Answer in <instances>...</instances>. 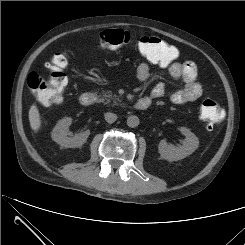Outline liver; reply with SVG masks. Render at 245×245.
I'll list each match as a JSON object with an SVG mask.
<instances>
[{
  "label": "liver",
  "mask_w": 245,
  "mask_h": 245,
  "mask_svg": "<svg viewBox=\"0 0 245 245\" xmlns=\"http://www.w3.org/2000/svg\"><path fill=\"white\" fill-rule=\"evenodd\" d=\"M28 116H29V122H30L31 129L37 132L41 126V119H40V113L35 104L31 105Z\"/></svg>",
  "instance_id": "1"
}]
</instances>
